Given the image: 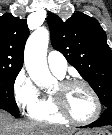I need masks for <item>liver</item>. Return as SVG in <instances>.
<instances>
[{"label":"liver","mask_w":112,"mask_h":135,"mask_svg":"<svg viewBox=\"0 0 112 135\" xmlns=\"http://www.w3.org/2000/svg\"><path fill=\"white\" fill-rule=\"evenodd\" d=\"M102 135V131H95ZM72 131L40 122L15 121L10 114L0 110V135H71Z\"/></svg>","instance_id":"liver-1"}]
</instances>
